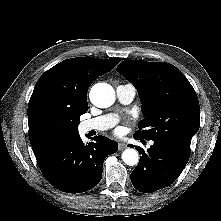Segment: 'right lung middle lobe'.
Here are the masks:
<instances>
[{
    "mask_svg": "<svg viewBox=\"0 0 221 221\" xmlns=\"http://www.w3.org/2000/svg\"><path fill=\"white\" fill-rule=\"evenodd\" d=\"M80 122V116H73L59 120V124L64 129H69L73 134H78L77 126Z\"/></svg>",
    "mask_w": 221,
    "mask_h": 221,
    "instance_id": "right-lung-middle-lobe-1",
    "label": "right lung middle lobe"
}]
</instances>
